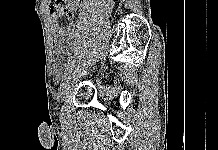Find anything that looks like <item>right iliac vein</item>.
I'll use <instances>...</instances> for the list:
<instances>
[{
	"instance_id": "1",
	"label": "right iliac vein",
	"mask_w": 218,
	"mask_h": 150,
	"mask_svg": "<svg viewBox=\"0 0 218 150\" xmlns=\"http://www.w3.org/2000/svg\"><path fill=\"white\" fill-rule=\"evenodd\" d=\"M79 75V69L75 68L70 76L68 78H66L64 80V82L61 84L60 89H59V95L61 97V99L63 100L64 98H66L68 96V94L70 93L71 90V81H74Z\"/></svg>"
}]
</instances>
